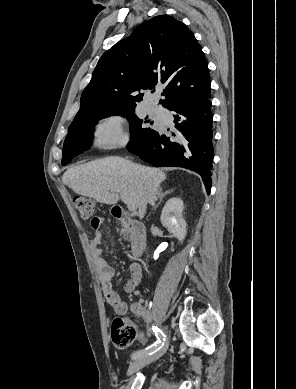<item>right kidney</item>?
Here are the masks:
<instances>
[{
    "label": "right kidney",
    "instance_id": "obj_1",
    "mask_svg": "<svg viewBox=\"0 0 296 389\" xmlns=\"http://www.w3.org/2000/svg\"><path fill=\"white\" fill-rule=\"evenodd\" d=\"M184 203L180 198L172 197L164 205L160 220L162 225L181 243L187 234V223L183 218Z\"/></svg>",
    "mask_w": 296,
    "mask_h": 389
}]
</instances>
